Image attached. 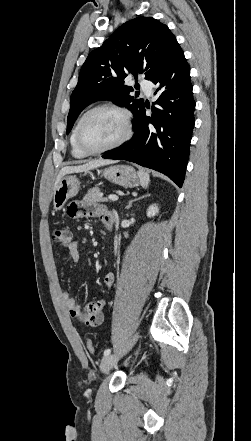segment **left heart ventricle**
<instances>
[{
    "instance_id": "1",
    "label": "left heart ventricle",
    "mask_w": 251,
    "mask_h": 441,
    "mask_svg": "<svg viewBox=\"0 0 251 441\" xmlns=\"http://www.w3.org/2000/svg\"><path fill=\"white\" fill-rule=\"evenodd\" d=\"M123 132L121 115L113 110L102 109L87 116L82 126L81 139L85 147L95 150L112 144Z\"/></svg>"
}]
</instances>
